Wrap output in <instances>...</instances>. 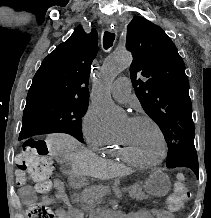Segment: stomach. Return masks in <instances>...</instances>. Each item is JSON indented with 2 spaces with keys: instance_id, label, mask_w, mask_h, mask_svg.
Instances as JSON below:
<instances>
[{
  "instance_id": "0dacf381",
  "label": "stomach",
  "mask_w": 211,
  "mask_h": 218,
  "mask_svg": "<svg viewBox=\"0 0 211 218\" xmlns=\"http://www.w3.org/2000/svg\"><path fill=\"white\" fill-rule=\"evenodd\" d=\"M170 184V179L165 173L156 171L150 175L143 187L153 196H164L169 192Z\"/></svg>"
}]
</instances>
